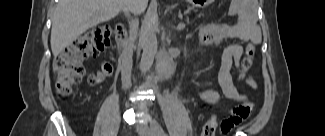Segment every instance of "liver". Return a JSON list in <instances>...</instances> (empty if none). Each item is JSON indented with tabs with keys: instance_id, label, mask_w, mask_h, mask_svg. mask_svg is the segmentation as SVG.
Here are the masks:
<instances>
[{
	"instance_id": "obj_1",
	"label": "liver",
	"mask_w": 325,
	"mask_h": 136,
	"mask_svg": "<svg viewBox=\"0 0 325 136\" xmlns=\"http://www.w3.org/2000/svg\"><path fill=\"white\" fill-rule=\"evenodd\" d=\"M124 0H59L52 20L51 50L58 56L81 34L113 19L122 10ZM146 1L137 2V12Z\"/></svg>"
}]
</instances>
